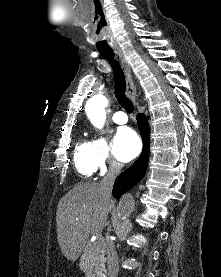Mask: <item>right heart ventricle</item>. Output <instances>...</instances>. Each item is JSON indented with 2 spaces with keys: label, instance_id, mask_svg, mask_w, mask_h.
I'll list each match as a JSON object with an SVG mask.
<instances>
[{
  "label": "right heart ventricle",
  "instance_id": "right-heart-ventricle-1",
  "mask_svg": "<svg viewBox=\"0 0 221 277\" xmlns=\"http://www.w3.org/2000/svg\"><path fill=\"white\" fill-rule=\"evenodd\" d=\"M74 164L77 172L83 178H90L96 168L92 158V146L90 141L81 140L74 150Z\"/></svg>",
  "mask_w": 221,
  "mask_h": 277
}]
</instances>
